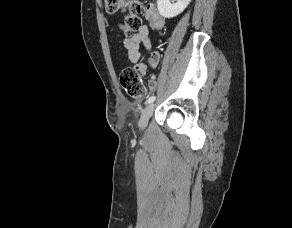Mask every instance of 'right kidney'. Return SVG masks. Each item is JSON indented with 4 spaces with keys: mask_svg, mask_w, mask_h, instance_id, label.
<instances>
[{
    "mask_svg": "<svg viewBox=\"0 0 292 228\" xmlns=\"http://www.w3.org/2000/svg\"><path fill=\"white\" fill-rule=\"evenodd\" d=\"M191 0H177L171 3L170 0H158L157 7L161 16L164 18H173L182 13Z\"/></svg>",
    "mask_w": 292,
    "mask_h": 228,
    "instance_id": "ca27d5eb",
    "label": "right kidney"
}]
</instances>
